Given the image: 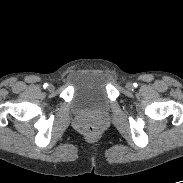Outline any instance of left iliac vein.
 <instances>
[{
	"label": "left iliac vein",
	"mask_w": 183,
	"mask_h": 183,
	"mask_svg": "<svg viewBox=\"0 0 183 183\" xmlns=\"http://www.w3.org/2000/svg\"><path fill=\"white\" fill-rule=\"evenodd\" d=\"M126 88H127L128 90H131V89L133 88V84L130 83V82L126 83Z\"/></svg>",
	"instance_id": "obj_1"
}]
</instances>
